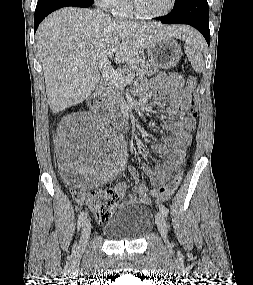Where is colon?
Segmentation results:
<instances>
[{"label": "colon", "instance_id": "obj_1", "mask_svg": "<svg viewBox=\"0 0 253 285\" xmlns=\"http://www.w3.org/2000/svg\"><path fill=\"white\" fill-rule=\"evenodd\" d=\"M188 93L189 99L187 103V114L190 118H196L198 115V94L197 82L195 77H188ZM182 180V172H179L174 179L168 184L157 189L161 193H174ZM74 197L80 204L86 205L94 213L98 222H106L120 201L122 194L115 189H108L104 191H75Z\"/></svg>", "mask_w": 253, "mask_h": 285}]
</instances>
